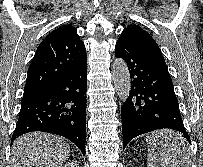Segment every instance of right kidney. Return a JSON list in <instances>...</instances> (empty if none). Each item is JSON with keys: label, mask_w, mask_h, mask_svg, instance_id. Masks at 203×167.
<instances>
[{"label": "right kidney", "mask_w": 203, "mask_h": 167, "mask_svg": "<svg viewBox=\"0 0 203 167\" xmlns=\"http://www.w3.org/2000/svg\"><path fill=\"white\" fill-rule=\"evenodd\" d=\"M63 167H79V164H77V162H75V161H72V162H68Z\"/></svg>", "instance_id": "obj_1"}]
</instances>
